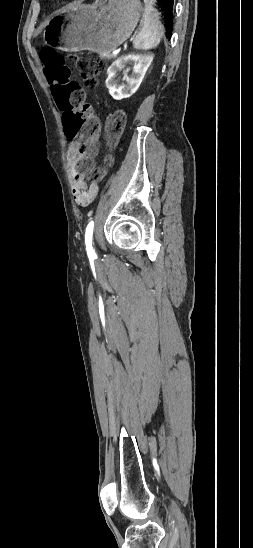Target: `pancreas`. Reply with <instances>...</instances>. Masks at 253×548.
<instances>
[{
    "label": "pancreas",
    "mask_w": 253,
    "mask_h": 548,
    "mask_svg": "<svg viewBox=\"0 0 253 548\" xmlns=\"http://www.w3.org/2000/svg\"><path fill=\"white\" fill-rule=\"evenodd\" d=\"M101 57L110 60V59H113L115 56L111 53H106L101 55Z\"/></svg>",
    "instance_id": "pancreas-1"
}]
</instances>
